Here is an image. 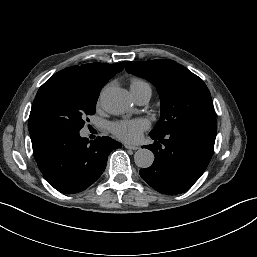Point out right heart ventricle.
<instances>
[{
    "instance_id": "1",
    "label": "right heart ventricle",
    "mask_w": 257,
    "mask_h": 257,
    "mask_svg": "<svg viewBox=\"0 0 257 257\" xmlns=\"http://www.w3.org/2000/svg\"><path fill=\"white\" fill-rule=\"evenodd\" d=\"M130 91L132 96L141 93L143 91H151V88L147 82L139 78H133L130 81Z\"/></svg>"
}]
</instances>
